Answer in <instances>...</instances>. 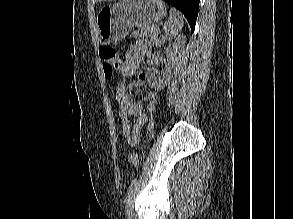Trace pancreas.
Returning a JSON list of instances; mask_svg holds the SVG:
<instances>
[{
    "label": "pancreas",
    "instance_id": "cf45deb5",
    "mask_svg": "<svg viewBox=\"0 0 293 219\" xmlns=\"http://www.w3.org/2000/svg\"><path fill=\"white\" fill-rule=\"evenodd\" d=\"M159 32L157 25L150 24L140 27V30H136L132 33L134 37H150L151 41H155Z\"/></svg>",
    "mask_w": 293,
    "mask_h": 219
}]
</instances>
